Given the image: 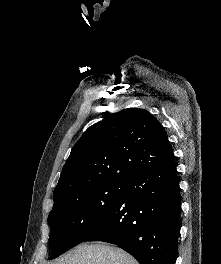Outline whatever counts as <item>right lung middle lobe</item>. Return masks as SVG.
I'll return each instance as SVG.
<instances>
[{
  "label": "right lung middle lobe",
  "instance_id": "dd1d6c3e",
  "mask_svg": "<svg viewBox=\"0 0 221 264\" xmlns=\"http://www.w3.org/2000/svg\"><path fill=\"white\" fill-rule=\"evenodd\" d=\"M125 182H108L75 193L53 207L48 217L54 259L83 242L111 212Z\"/></svg>",
  "mask_w": 221,
  "mask_h": 264
}]
</instances>
